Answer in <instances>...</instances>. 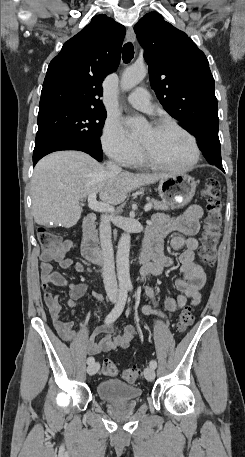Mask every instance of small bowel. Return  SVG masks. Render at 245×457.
<instances>
[{"mask_svg":"<svg viewBox=\"0 0 245 457\" xmlns=\"http://www.w3.org/2000/svg\"><path fill=\"white\" fill-rule=\"evenodd\" d=\"M204 210L199 205L190 206L179 216L171 217L164 213H157L153 216L151 225L145 234L144 248L152 251V262L146 265L141 272L142 280L147 275L159 276L164 268L173 265V259L166 256L163 252L164 239L173 232H177L171 239V247L174 250H183L179 256L181 262V277L176 280V288L180 292L177 297H168L164 301L166 312L159 310V303L154 295L152 288L146 287L145 293L151 301V305L142 308L143 313L159 317L170 316L172 313L183 308L187 300L193 306L200 302V291L206 281L204 268L195 260V251L198 248V240L195 236L200 230L201 220ZM74 247V242L66 240L59 251L53 256L41 255L40 275L43 297L49 309L54 327L59 336L75 348L85 351L90 355H98L109 352L117 348H127L130 342L137 335V330L131 325L123 328H116L114 322L105 323L89 335L85 328L74 329L72 321H64L61 317V305L59 300L49 291L51 286L67 287L69 296L67 304L74 308L77 301L86 293V284H74L68 282L63 275L53 271L51 261H56L60 267L74 268L77 272H84L85 267L82 263L73 262L68 257L69 251ZM92 297L99 302H105L102 294L93 291ZM102 335L99 340L96 337Z\"/></svg>","mask_w":245,"mask_h":457,"instance_id":"1","label":"small bowel"}]
</instances>
